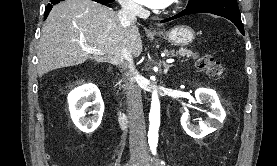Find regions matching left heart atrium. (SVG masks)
<instances>
[{"instance_id": "left-heart-atrium-1", "label": "left heart atrium", "mask_w": 277, "mask_h": 166, "mask_svg": "<svg viewBox=\"0 0 277 166\" xmlns=\"http://www.w3.org/2000/svg\"><path fill=\"white\" fill-rule=\"evenodd\" d=\"M138 3L150 8L161 9L171 4L172 0H136Z\"/></svg>"}]
</instances>
